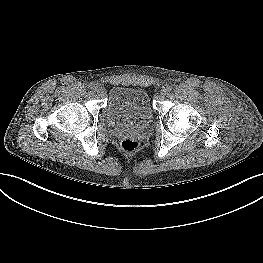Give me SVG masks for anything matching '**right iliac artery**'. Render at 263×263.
Listing matches in <instances>:
<instances>
[{
	"label": "right iliac artery",
	"mask_w": 263,
	"mask_h": 263,
	"mask_svg": "<svg viewBox=\"0 0 263 263\" xmlns=\"http://www.w3.org/2000/svg\"><path fill=\"white\" fill-rule=\"evenodd\" d=\"M93 85H94V84L90 83V84L88 85V87H89V88H92Z\"/></svg>",
	"instance_id": "1"
}]
</instances>
